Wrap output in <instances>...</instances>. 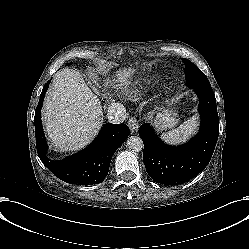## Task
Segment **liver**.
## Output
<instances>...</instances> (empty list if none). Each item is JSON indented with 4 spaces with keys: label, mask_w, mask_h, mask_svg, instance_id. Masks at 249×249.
Wrapping results in <instances>:
<instances>
[{
    "label": "liver",
    "mask_w": 249,
    "mask_h": 249,
    "mask_svg": "<svg viewBox=\"0 0 249 249\" xmlns=\"http://www.w3.org/2000/svg\"><path fill=\"white\" fill-rule=\"evenodd\" d=\"M128 74L123 72L124 84ZM91 76L97 78L96 73ZM42 119L55 150L73 152L87 146L101 129L103 106L79 71L64 70L56 74L46 93Z\"/></svg>",
    "instance_id": "liver-1"
}]
</instances>
